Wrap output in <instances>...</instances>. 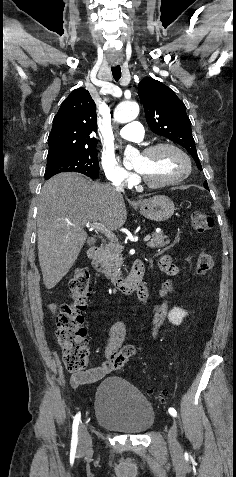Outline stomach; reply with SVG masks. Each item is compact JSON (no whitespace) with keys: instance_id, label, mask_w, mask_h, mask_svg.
<instances>
[{"instance_id":"1","label":"stomach","mask_w":236,"mask_h":477,"mask_svg":"<svg viewBox=\"0 0 236 477\" xmlns=\"http://www.w3.org/2000/svg\"><path fill=\"white\" fill-rule=\"evenodd\" d=\"M140 213L156 222L168 220L174 213L173 201L164 195H157L139 202Z\"/></svg>"}]
</instances>
